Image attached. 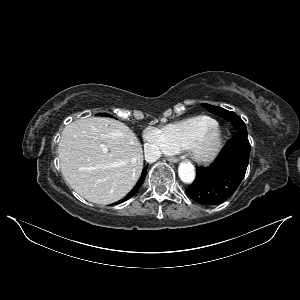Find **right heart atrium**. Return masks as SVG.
Here are the masks:
<instances>
[{
  "instance_id": "d8ad5b80",
  "label": "right heart atrium",
  "mask_w": 300,
  "mask_h": 300,
  "mask_svg": "<svg viewBox=\"0 0 300 300\" xmlns=\"http://www.w3.org/2000/svg\"><path fill=\"white\" fill-rule=\"evenodd\" d=\"M143 138L146 143L147 153L150 156H167L174 152L160 128L148 127L143 133Z\"/></svg>"
}]
</instances>
